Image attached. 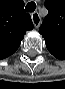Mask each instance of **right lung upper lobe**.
Returning <instances> with one entry per match:
<instances>
[{"mask_svg": "<svg viewBox=\"0 0 65 89\" xmlns=\"http://www.w3.org/2000/svg\"><path fill=\"white\" fill-rule=\"evenodd\" d=\"M33 27L22 0H0V59L12 55L20 46L26 31Z\"/></svg>", "mask_w": 65, "mask_h": 89, "instance_id": "obj_1", "label": "right lung upper lobe"}]
</instances>
